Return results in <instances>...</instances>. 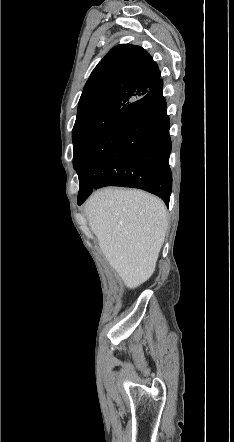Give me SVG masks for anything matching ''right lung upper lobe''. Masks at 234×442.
Masks as SVG:
<instances>
[{
	"label": "right lung upper lobe",
	"instance_id": "cb5924a9",
	"mask_svg": "<svg viewBox=\"0 0 234 442\" xmlns=\"http://www.w3.org/2000/svg\"><path fill=\"white\" fill-rule=\"evenodd\" d=\"M159 80V67L142 47L118 45L91 73L79 100L76 120L120 110L144 96Z\"/></svg>",
	"mask_w": 234,
	"mask_h": 442
}]
</instances>
